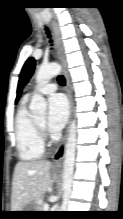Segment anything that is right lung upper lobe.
I'll use <instances>...</instances> for the list:
<instances>
[{
	"label": "right lung upper lobe",
	"mask_w": 123,
	"mask_h": 219,
	"mask_svg": "<svg viewBox=\"0 0 123 219\" xmlns=\"http://www.w3.org/2000/svg\"><path fill=\"white\" fill-rule=\"evenodd\" d=\"M20 94H21V92L18 93L17 98H16V102L18 101Z\"/></svg>",
	"instance_id": "obj_1"
}]
</instances>
